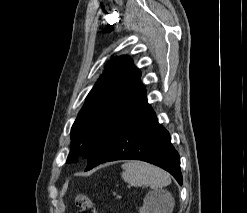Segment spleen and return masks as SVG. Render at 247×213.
<instances>
[{"instance_id":"1","label":"spleen","mask_w":247,"mask_h":213,"mask_svg":"<svg viewBox=\"0 0 247 213\" xmlns=\"http://www.w3.org/2000/svg\"><path fill=\"white\" fill-rule=\"evenodd\" d=\"M121 168L123 180L134 186H149L152 189H160L171 183V177L167 172L146 162L129 161L123 164Z\"/></svg>"}]
</instances>
